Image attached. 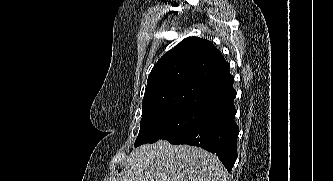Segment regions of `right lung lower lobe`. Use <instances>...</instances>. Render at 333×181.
<instances>
[{
  "mask_svg": "<svg viewBox=\"0 0 333 181\" xmlns=\"http://www.w3.org/2000/svg\"><path fill=\"white\" fill-rule=\"evenodd\" d=\"M234 98L213 105L200 119L178 137L168 140L171 144H188L201 147L218 156L230 172L237 158L239 127L235 123Z\"/></svg>",
  "mask_w": 333,
  "mask_h": 181,
  "instance_id": "obj_1",
  "label": "right lung lower lobe"
}]
</instances>
